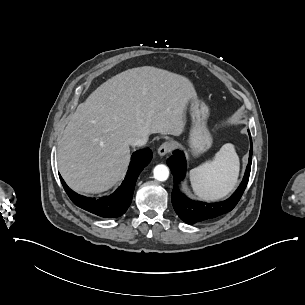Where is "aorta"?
I'll use <instances>...</instances> for the list:
<instances>
[{
	"instance_id": "1",
	"label": "aorta",
	"mask_w": 305,
	"mask_h": 305,
	"mask_svg": "<svg viewBox=\"0 0 305 305\" xmlns=\"http://www.w3.org/2000/svg\"><path fill=\"white\" fill-rule=\"evenodd\" d=\"M154 178L158 181H166L169 177V169L164 164L155 166L153 170Z\"/></svg>"
}]
</instances>
